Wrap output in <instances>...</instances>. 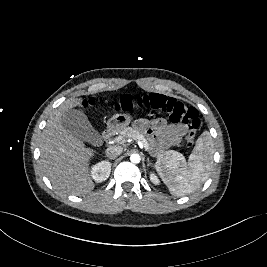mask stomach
<instances>
[{"label":"stomach","instance_id":"0dacf381","mask_svg":"<svg viewBox=\"0 0 267 267\" xmlns=\"http://www.w3.org/2000/svg\"><path fill=\"white\" fill-rule=\"evenodd\" d=\"M132 119L133 117L128 113L115 114L108 120L107 125L110 129L120 131L128 126Z\"/></svg>","mask_w":267,"mask_h":267}]
</instances>
